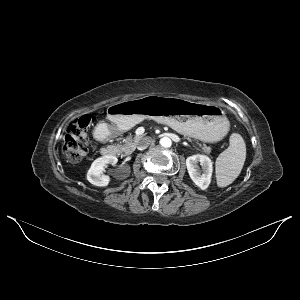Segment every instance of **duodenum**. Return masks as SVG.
<instances>
[{
    "label": "duodenum",
    "mask_w": 300,
    "mask_h": 300,
    "mask_svg": "<svg viewBox=\"0 0 300 300\" xmlns=\"http://www.w3.org/2000/svg\"><path fill=\"white\" fill-rule=\"evenodd\" d=\"M109 131L110 130L107 127H104V128H101V129L97 130L96 133H95V139L99 142H103L108 137ZM101 153L104 156H115L117 154V150L112 145H106V146L102 147Z\"/></svg>",
    "instance_id": "obj_1"
}]
</instances>
